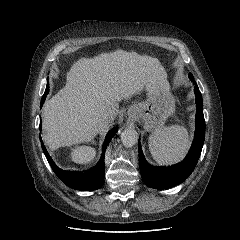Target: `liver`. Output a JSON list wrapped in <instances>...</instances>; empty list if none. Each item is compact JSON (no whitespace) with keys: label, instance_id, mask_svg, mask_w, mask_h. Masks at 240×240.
Returning <instances> with one entry per match:
<instances>
[{"label":"liver","instance_id":"obj_1","mask_svg":"<svg viewBox=\"0 0 240 240\" xmlns=\"http://www.w3.org/2000/svg\"><path fill=\"white\" fill-rule=\"evenodd\" d=\"M167 82L157 58L116 50L76 61L66 85L49 99L42 114L43 140L50 149L91 141L106 131L118 113V102L129 99L148 84ZM102 113L111 122L99 128Z\"/></svg>","mask_w":240,"mask_h":240}]
</instances>
